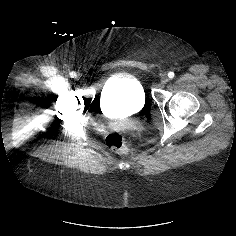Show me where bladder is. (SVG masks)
I'll return each instance as SVG.
<instances>
[{
    "label": "bladder",
    "instance_id": "31cf9c89",
    "mask_svg": "<svg viewBox=\"0 0 236 236\" xmlns=\"http://www.w3.org/2000/svg\"><path fill=\"white\" fill-rule=\"evenodd\" d=\"M101 92L102 106L107 113H111L113 107L127 112L133 108L140 111L146 102L142 83L131 74L111 77L103 85Z\"/></svg>",
    "mask_w": 236,
    "mask_h": 236
}]
</instances>
